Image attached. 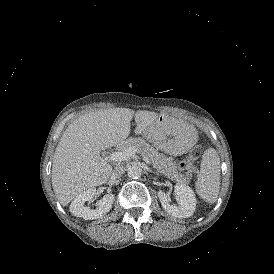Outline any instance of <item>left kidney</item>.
Returning a JSON list of instances; mask_svg holds the SVG:
<instances>
[{
	"label": "left kidney",
	"instance_id": "1",
	"mask_svg": "<svg viewBox=\"0 0 274 274\" xmlns=\"http://www.w3.org/2000/svg\"><path fill=\"white\" fill-rule=\"evenodd\" d=\"M176 202L178 205H172L170 194L159 189L157 191L161 207L170 215L176 218H188L194 214L196 198L192 190L184 184H176L174 187Z\"/></svg>",
	"mask_w": 274,
	"mask_h": 274
}]
</instances>
